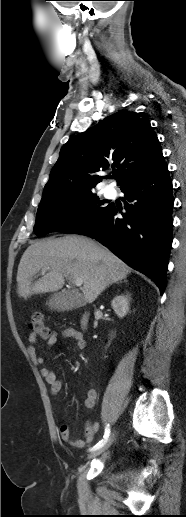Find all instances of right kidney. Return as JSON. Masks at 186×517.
Instances as JSON below:
<instances>
[{
  "label": "right kidney",
  "instance_id": "ca27d5eb",
  "mask_svg": "<svg viewBox=\"0 0 186 517\" xmlns=\"http://www.w3.org/2000/svg\"><path fill=\"white\" fill-rule=\"evenodd\" d=\"M111 306L118 317L123 318L129 310L128 295H117L113 298Z\"/></svg>",
  "mask_w": 186,
  "mask_h": 517
}]
</instances>
